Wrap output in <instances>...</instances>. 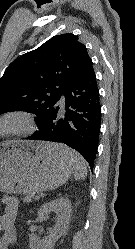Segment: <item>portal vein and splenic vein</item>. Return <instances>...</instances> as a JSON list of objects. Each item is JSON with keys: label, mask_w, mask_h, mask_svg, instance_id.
<instances>
[{"label": "portal vein and splenic vein", "mask_w": 135, "mask_h": 249, "mask_svg": "<svg viewBox=\"0 0 135 249\" xmlns=\"http://www.w3.org/2000/svg\"><path fill=\"white\" fill-rule=\"evenodd\" d=\"M35 199H39V196H35Z\"/></svg>", "instance_id": "18ae733b"}]
</instances>
